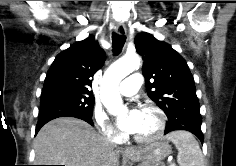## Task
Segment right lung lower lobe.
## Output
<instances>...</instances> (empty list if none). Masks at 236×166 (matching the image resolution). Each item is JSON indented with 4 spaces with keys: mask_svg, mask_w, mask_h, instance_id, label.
<instances>
[{
    "mask_svg": "<svg viewBox=\"0 0 236 166\" xmlns=\"http://www.w3.org/2000/svg\"><path fill=\"white\" fill-rule=\"evenodd\" d=\"M64 116L79 118V119H82V120L88 122L90 125H93L92 118L87 116V115H85L84 113L76 112V111H68V112H66L64 114H61V115L51 116V117H46V118H43V119H39V121L37 123V126H36L35 134H37L38 131L41 129V127L43 125H45L47 122H49V121H51V120H53L55 118L64 117Z\"/></svg>",
    "mask_w": 236,
    "mask_h": 166,
    "instance_id": "right-lung-lower-lobe-1",
    "label": "right lung lower lobe"
}]
</instances>
